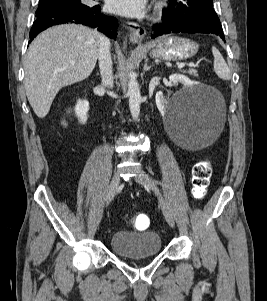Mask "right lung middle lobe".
Here are the masks:
<instances>
[{
    "mask_svg": "<svg viewBox=\"0 0 267 301\" xmlns=\"http://www.w3.org/2000/svg\"><path fill=\"white\" fill-rule=\"evenodd\" d=\"M86 5L81 3V0H39L38 9L36 15L45 14L58 9L73 8V7H85Z\"/></svg>",
    "mask_w": 267,
    "mask_h": 301,
    "instance_id": "obj_1",
    "label": "right lung middle lobe"
}]
</instances>
